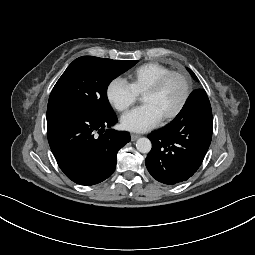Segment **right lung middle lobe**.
<instances>
[{"instance_id":"dd1d6c3e","label":"right lung middle lobe","mask_w":255,"mask_h":255,"mask_svg":"<svg viewBox=\"0 0 255 255\" xmlns=\"http://www.w3.org/2000/svg\"><path fill=\"white\" fill-rule=\"evenodd\" d=\"M137 62L93 56L75 59L52 89L48 107L72 106L100 116L114 115L107 99V87Z\"/></svg>"}]
</instances>
